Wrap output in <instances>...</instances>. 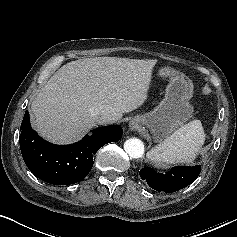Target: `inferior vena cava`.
<instances>
[{
  "instance_id": "1",
  "label": "inferior vena cava",
  "mask_w": 237,
  "mask_h": 237,
  "mask_svg": "<svg viewBox=\"0 0 237 237\" xmlns=\"http://www.w3.org/2000/svg\"><path fill=\"white\" fill-rule=\"evenodd\" d=\"M95 120L99 124H107V123H112L118 120V118L110 113H102V114H97L95 115Z\"/></svg>"
}]
</instances>
